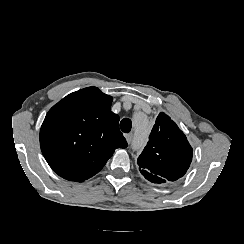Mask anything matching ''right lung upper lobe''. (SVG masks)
<instances>
[{
    "label": "right lung upper lobe",
    "instance_id": "right-lung-upper-lobe-1",
    "mask_svg": "<svg viewBox=\"0 0 244 244\" xmlns=\"http://www.w3.org/2000/svg\"><path fill=\"white\" fill-rule=\"evenodd\" d=\"M112 97L96 87L73 92L47 113L40 146L50 167L61 177L82 182L98 173L116 148L127 142Z\"/></svg>",
    "mask_w": 244,
    "mask_h": 244
}]
</instances>
